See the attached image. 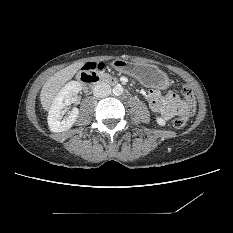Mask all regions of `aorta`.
<instances>
[{"instance_id": "aorta-1", "label": "aorta", "mask_w": 233, "mask_h": 233, "mask_svg": "<svg viewBox=\"0 0 233 233\" xmlns=\"http://www.w3.org/2000/svg\"><path fill=\"white\" fill-rule=\"evenodd\" d=\"M124 92V88L121 86V85H116L114 88H113V93L115 95H122Z\"/></svg>"}]
</instances>
